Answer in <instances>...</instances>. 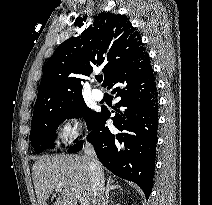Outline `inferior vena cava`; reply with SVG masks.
<instances>
[{"label":"inferior vena cava","instance_id":"obj_1","mask_svg":"<svg viewBox=\"0 0 212 205\" xmlns=\"http://www.w3.org/2000/svg\"><path fill=\"white\" fill-rule=\"evenodd\" d=\"M84 156L88 162L91 183L94 190L95 205H104L105 179L102 166L96 156L94 147L88 142L84 145Z\"/></svg>","mask_w":212,"mask_h":205}]
</instances>
